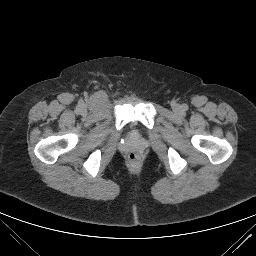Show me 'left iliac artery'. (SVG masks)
<instances>
[{
  "mask_svg": "<svg viewBox=\"0 0 256 256\" xmlns=\"http://www.w3.org/2000/svg\"><path fill=\"white\" fill-rule=\"evenodd\" d=\"M188 106L187 105H183V110H187Z\"/></svg>",
  "mask_w": 256,
  "mask_h": 256,
  "instance_id": "left-iliac-artery-1",
  "label": "left iliac artery"
}]
</instances>
